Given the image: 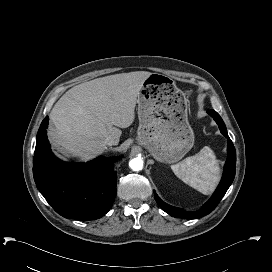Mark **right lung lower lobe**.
<instances>
[{"mask_svg":"<svg viewBox=\"0 0 272 272\" xmlns=\"http://www.w3.org/2000/svg\"><path fill=\"white\" fill-rule=\"evenodd\" d=\"M48 117L39 128L33 158L36 186L53 209L65 218L88 221L105 215L116 196L117 157L89 163H67L54 156L46 135Z\"/></svg>","mask_w":272,"mask_h":272,"instance_id":"98d812e1","label":"right lung lower lobe"}]
</instances>
